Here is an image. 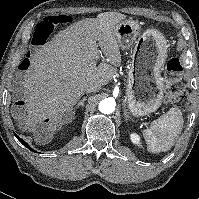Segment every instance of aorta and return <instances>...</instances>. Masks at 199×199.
I'll list each match as a JSON object with an SVG mask.
<instances>
[{"mask_svg": "<svg viewBox=\"0 0 199 199\" xmlns=\"http://www.w3.org/2000/svg\"><path fill=\"white\" fill-rule=\"evenodd\" d=\"M99 110L103 114H111L115 110V103L111 99H104L99 103Z\"/></svg>", "mask_w": 199, "mask_h": 199, "instance_id": "1", "label": "aorta"}]
</instances>
